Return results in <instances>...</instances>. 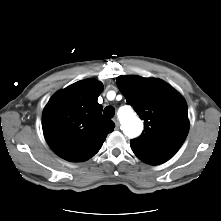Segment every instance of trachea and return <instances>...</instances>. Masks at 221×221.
Segmentation results:
<instances>
[{"mask_svg":"<svg viewBox=\"0 0 221 221\" xmlns=\"http://www.w3.org/2000/svg\"><path fill=\"white\" fill-rule=\"evenodd\" d=\"M103 113L107 118H112L115 115V109L112 106H107L105 107Z\"/></svg>","mask_w":221,"mask_h":221,"instance_id":"trachea-1","label":"trachea"}]
</instances>
